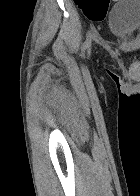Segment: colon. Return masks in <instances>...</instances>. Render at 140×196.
<instances>
[{
    "instance_id": "colon-1",
    "label": "colon",
    "mask_w": 140,
    "mask_h": 196,
    "mask_svg": "<svg viewBox=\"0 0 140 196\" xmlns=\"http://www.w3.org/2000/svg\"><path fill=\"white\" fill-rule=\"evenodd\" d=\"M109 1H110V0H107V2H109ZM75 2H76V4L79 5V6H81V5H83V4L85 3L84 0H75Z\"/></svg>"
}]
</instances>
